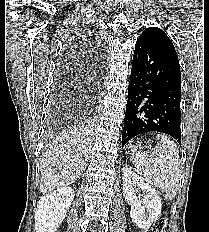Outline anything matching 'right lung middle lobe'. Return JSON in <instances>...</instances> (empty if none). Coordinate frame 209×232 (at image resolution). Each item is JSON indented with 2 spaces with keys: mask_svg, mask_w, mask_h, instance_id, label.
<instances>
[{
  "mask_svg": "<svg viewBox=\"0 0 209 232\" xmlns=\"http://www.w3.org/2000/svg\"><path fill=\"white\" fill-rule=\"evenodd\" d=\"M62 121H64V116H62V115H60V116H56L55 118H54V123H56V124H59V123H61Z\"/></svg>",
  "mask_w": 209,
  "mask_h": 232,
  "instance_id": "1",
  "label": "right lung middle lobe"
}]
</instances>
